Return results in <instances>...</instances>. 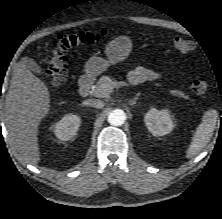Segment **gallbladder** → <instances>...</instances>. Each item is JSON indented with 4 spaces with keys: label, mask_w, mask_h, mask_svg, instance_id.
I'll use <instances>...</instances> for the list:
<instances>
[{
    "label": "gallbladder",
    "mask_w": 222,
    "mask_h": 219,
    "mask_svg": "<svg viewBox=\"0 0 222 219\" xmlns=\"http://www.w3.org/2000/svg\"><path fill=\"white\" fill-rule=\"evenodd\" d=\"M25 61L31 71H33L37 75H43L41 67L33 59L27 58Z\"/></svg>",
    "instance_id": "gallbladder-1"
}]
</instances>
